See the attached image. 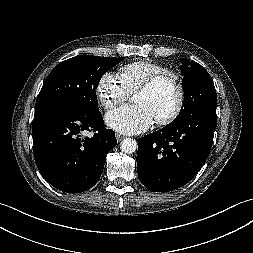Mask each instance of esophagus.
<instances>
[{
  "mask_svg": "<svg viewBox=\"0 0 253 253\" xmlns=\"http://www.w3.org/2000/svg\"><path fill=\"white\" fill-rule=\"evenodd\" d=\"M116 139L120 142L123 139V136L121 134H116Z\"/></svg>",
  "mask_w": 253,
  "mask_h": 253,
  "instance_id": "obj_1",
  "label": "esophagus"
}]
</instances>
